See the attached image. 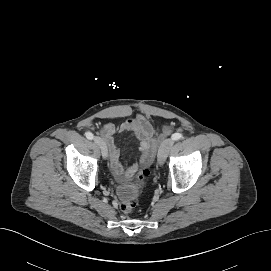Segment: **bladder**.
Returning <instances> with one entry per match:
<instances>
[{"instance_id": "1", "label": "bladder", "mask_w": 271, "mask_h": 271, "mask_svg": "<svg viewBox=\"0 0 271 271\" xmlns=\"http://www.w3.org/2000/svg\"><path fill=\"white\" fill-rule=\"evenodd\" d=\"M138 194V187L131 184H120L117 189L118 197L123 200H135Z\"/></svg>"}]
</instances>
